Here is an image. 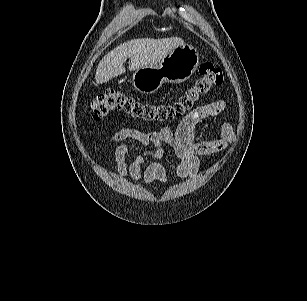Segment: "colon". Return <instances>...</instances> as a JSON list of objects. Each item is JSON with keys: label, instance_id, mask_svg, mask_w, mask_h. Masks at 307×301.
Segmentation results:
<instances>
[{"label": "colon", "instance_id": "colon-1", "mask_svg": "<svg viewBox=\"0 0 307 301\" xmlns=\"http://www.w3.org/2000/svg\"><path fill=\"white\" fill-rule=\"evenodd\" d=\"M223 81L222 70L205 62L199 68V77L171 105L142 102L121 90H109L97 95L92 102V117L103 118L113 112H123L142 121L162 122L191 113L197 103Z\"/></svg>", "mask_w": 307, "mask_h": 301}]
</instances>
